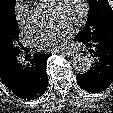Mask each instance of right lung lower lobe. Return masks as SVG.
<instances>
[{"mask_svg":"<svg viewBox=\"0 0 113 113\" xmlns=\"http://www.w3.org/2000/svg\"><path fill=\"white\" fill-rule=\"evenodd\" d=\"M50 54H35L24 63L15 57L0 76L3 83L16 96L33 100L42 96L48 87L46 62Z\"/></svg>","mask_w":113,"mask_h":113,"instance_id":"right-lung-lower-lobe-1","label":"right lung lower lobe"}]
</instances>
